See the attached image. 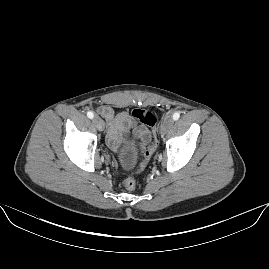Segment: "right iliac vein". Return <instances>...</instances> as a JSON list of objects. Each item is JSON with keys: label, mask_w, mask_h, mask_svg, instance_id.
<instances>
[{"label": "right iliac vein", "mask_w": 269, "mask_h": 269, "mask_svg": "<svg viewBox=\"0 0 269 269\" xmlns=\"http://www.w3.org/2000/svg\"><path fill=\"white\" fill-rule=\"evenodd\" d=\"M93 123L96 125V127L99 131H102L104 129V122L102 121V119L100 117L95 116L93 118Z\"/></svg>", "instance_id": "obj_1"}]
</instances>
